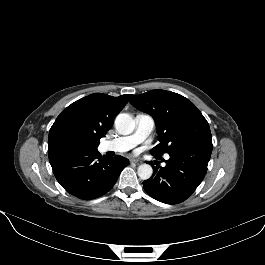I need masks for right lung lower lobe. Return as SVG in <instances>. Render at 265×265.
<instances>
[{"instance_id":"1","label":"right lung lower lobe","mask_w":265,"mask_h":265,"mask_svg":"<svg viewBox=\"0 0 265 265\" xmlns=\"http://www.w3.org/2000/svg\"><path fill=\"white\" fill-rule=\"evenodd\" d=\"M57 181L70 194L84 200L107 193L116 183L128 159L103 158L95 150H65L49 155Z\"/></svg>"}]
</instances>
